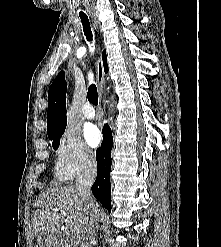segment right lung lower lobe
<instances>
[{
  "label": "right lung lower lobe",
  "mask_w": 221,
  "mask_h": 247,
  "mask_svg": "<svg viewBox=\"0 0 221 247\" xmlns=\"http://www.w3.org/2000/svg\"><path fill=\"white\" fill-rule=\"evenodd\" d=\"M113 137L110 127L105 124L103 127V141L101 147L96 151L97 177L92 186V193L96 199L111 212V149Z\"/></svg>",
  "instance_id": "obj_1"
}]
</instances>
